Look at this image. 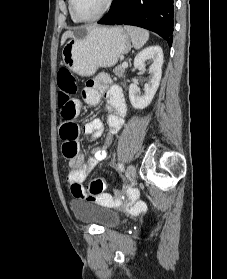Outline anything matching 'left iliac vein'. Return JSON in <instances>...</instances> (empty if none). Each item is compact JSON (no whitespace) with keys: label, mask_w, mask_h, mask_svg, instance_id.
I'll list each match as a JSON object with an SVG mask.
<instances>
[{"label":"left iliac vein","mask_w":227,"mask_h":279,"mask_svg":"<svg viewBox=\"0 0 227 279\" xmlns=\"http://www.w3.org/2000/svg\"><path fill=\"white\" fill-rule=\"evenodd\" d=\"M127 176L129 178V183H131L136 177V169L132 164L127 167Z\"/></svg>","instance_id":"left-iliac-vein-1"}]
</instances>
